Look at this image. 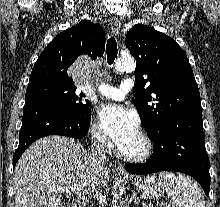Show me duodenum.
<instances>
[{
  "label": "duodenum",
  "instance_id": "duodenum-1",
  "mask_svg": "<svg viewBox=\"0 0 220 207\" xmlns=\"http://www.w3.org/2000/svg\"><path fill=\"white\" fill-rule=\"evenodd\" d=\"M71 207H78V206L74 205V206H71Z\"/></svg>",
  "mask_w": 220,
  "mask_h": 207
}]
</instances>
